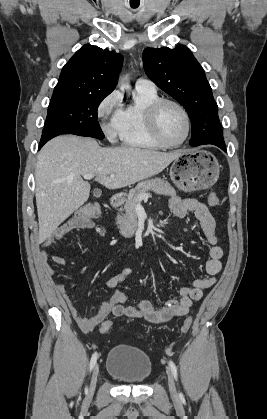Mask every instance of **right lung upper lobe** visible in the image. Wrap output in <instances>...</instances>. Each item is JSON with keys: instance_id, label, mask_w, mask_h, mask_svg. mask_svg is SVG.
I'll return each instance as SVG.
<instances>
[{"instance_id": "right-lung-upper-lobe-1", "label": "right lung upper lobe", "mask_w": 267, "mask_h": 419, "mask_svg": "<svg viewBox=\"0 0 267 419\" xmlns=\"http://www.w3.org/2000/svg\"><path fill=\"white\" fill-rule=\"evenodd\" d=\"M122 64L120 53L86 44L62 68L53 95H109L117 85Z\"/></svg>"}]
</instances>
